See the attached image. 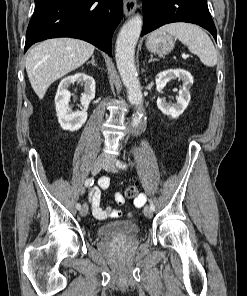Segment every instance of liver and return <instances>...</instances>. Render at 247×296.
I'll list each match as a JSON object with an SVG mask.
<instances>
[{"label": "liver", "mask_w": 247, "mask_h": 296, "mask_svg": "<svg viewBox=\"0 0 247 296\" xmlns=\"http://www.w3.org/2000/svg\"><path fill=\"white\" fill-rule=\"evenodd\" d=\"M94 49L92 44L73 38L49 39L32 48L25 67L39 99L54 81L83 65Z\"/></svg>", "instance_id": "6515ba94"}]
</instances>
